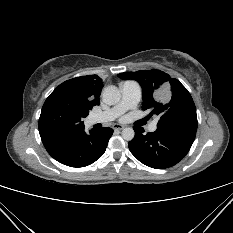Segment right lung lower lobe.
<instances>
[{
	"instance_id": "98d812e1",
	"label": "right lung lower lobe",
	"mask_w": 233,
	"mask_h": 233,
	"mask_svg": "<svg viewBox=\"0 0 233 233\" xmlns=\"http://www.w3.org/2000/svg\"><path fill=\"white\" fill-rule=\"evenodd\" d=\"M112 134L109 127L92 129L90 134H86L83 126L68 132H46L40 136L55 160L70 167H84L103 155Z\"/></svg>"
}]
</instances>
